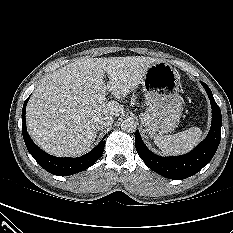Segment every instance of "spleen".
<instances>
[{
  "instance_id": "obj_1",
  "label": "spleen",
  "mask_w": 233,
  "mask_h": 233,
  "mask_svg": "<svg viewBox=\"0 0 233 233\" xmlns=\"http://www.w3.org/2000/svg\"><path fill=\"white\" fill-rule=\"evenodd\" d=\"M203 133L198 127L168 136H155L154 143L165 154L181 155L192 150L202 139Z\"/></svg>"
}]
</instances>
